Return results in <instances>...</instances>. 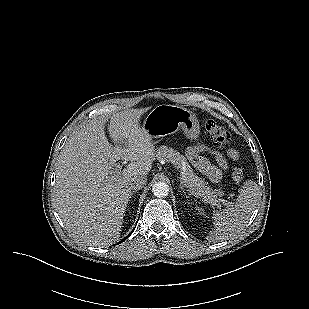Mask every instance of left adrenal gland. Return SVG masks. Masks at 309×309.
I'll use <instances>...</instances> for the list:
<instances>
[{"mask_svg":"<svg viewBox=\"0 0 309 309\" xmlns=\"http://www.w3.org/2000/svg\"><path fill=\"white\" fill-rule=\"evenodd\" d=\"M180 189L183 191L184 195H186V192H185L184 187L182 185H180Z\"/></svg>","mask_w":309,"mask_h":309,"instance_id":"1","label":"left adrenal gland"}]
</instances>
